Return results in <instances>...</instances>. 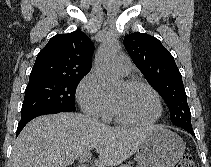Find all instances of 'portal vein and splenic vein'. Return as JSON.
<instances>
[{
	"mask_svg": "<svg viewBox=\"0 0 211 167\" xmlns=\"http://www.w3.org/2000/svg\"><path fill=\"white\" fill-rule=\"evenodd\" d=\"M90 158H91V154H90V153H85V154H83V155L80 157L79 162H80V163H83V162L89 160ZM84 167H86V166H84Z\"/></svg>",
	"mask_w": 211,
	"mask_h": 167,
	"instance_id": "obj_1",
	"label": "portal vein and splenic vein"
}]
</instances>
